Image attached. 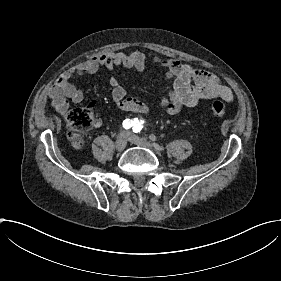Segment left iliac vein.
Listing matches in <instances>:
<instances>
[{
  "label": "left iliac vein",
  "mask_w": 281,
  "mask_h": 281,
  "mask_svg": "<svg viewBox=\"0 0 281 281\" xmlns=\"http://www.w3.org/2000/svg\"><path fill=\"white\" fill-rule=\"evenodd\" d=\"M123 138L128 140L129 143L135 144L138 147L144 146V147H146L148 149L152 147V145L149 144V142H147L145 140L143 141V140L137 138V136L133 135L131 132H126V134L123 135Z\"/></svg>",
  "instance_id": "obj_1"
}]
</instances>
